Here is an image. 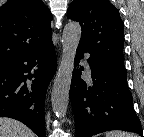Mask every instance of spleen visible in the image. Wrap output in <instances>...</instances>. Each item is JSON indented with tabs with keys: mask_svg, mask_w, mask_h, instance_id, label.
<instances>
[{
	"mask_svg": "<svg viewBox=\"0 0 144 137\" xmlns=\"http://www.w3.org/2000/svg\"><path fill=\"white\" fill-rule=\"evenodd\" d=\"M105 137H136L132 133H127L124 131H109L106 133Z\"/></svg>",
	"mask_w": 144,
	"mask_h": 137,
	"instance_id": "spleen-1",
	"label": "spleen"
}]
</instances>
